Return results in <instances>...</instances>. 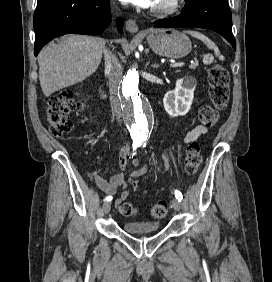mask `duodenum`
Masks as SVG:
<instances>
[{
	"label": "duodenum",
	"mask_w": 272,
	"mask_h": 282,
	"mask_svg": "<svg viewBox=\"0 0 272 282\" xmlns=\"http://www.w3.org/2000/svg\"><path fill=\"white\" fill-rule=\"evenodd\" d=\"M99 94H100V97H101L102 99H105V98H106V92H105L104 89H100Z\"/></svg>",
	"instance_id": "410a0bca"
}]
</instances>
